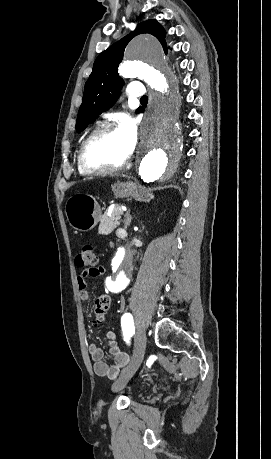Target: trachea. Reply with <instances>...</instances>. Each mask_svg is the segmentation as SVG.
Wrapping results in <instances>:
<instances>
[{"instance_id": "1", "label": "trachea", "mask_w": 271, "mask_h": 459, "mask_svg": "<svg viewBox=\"0 0 271 459\" xmlns=\"http://www.w3.org/2000/svg\"><path fill=\"white\" fill-rule=\"evenodd\" d=\"M141 102H142V103H147V102H148V97H147V95H143V97H141Z\"/></svg>"}]
</instances>
